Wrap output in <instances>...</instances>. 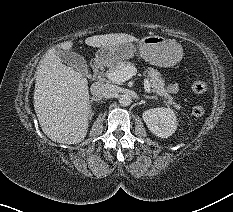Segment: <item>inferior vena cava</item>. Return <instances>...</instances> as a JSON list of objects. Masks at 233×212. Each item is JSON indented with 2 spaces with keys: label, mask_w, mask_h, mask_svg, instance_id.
I'll return each instance as SVG.
<instances>
[{
  "label": "inferior vena cava",
  "mask_w": 233,
  "mask_h": 212,
  "mask_svg": "<svg viewBox=\"0 0 233 212\" xmlns=\"http://www.w3.org/2000/svg\"><path fill=\"white\" fill-rule=\"evenodd\" d=\"M90 90L92 95L98 98H110L116 92L114 85H110L108 83L105 84L102 82L93 83Z\"/></svg>",
  "instance_id": "602c4592"
}]
</instances>
